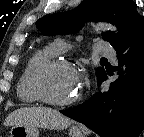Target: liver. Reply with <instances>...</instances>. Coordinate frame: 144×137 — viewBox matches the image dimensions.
<instances>
[{
  "label": "liver",
  "instance_id": "obj_1",
  "mask_svg": "<svg viewBox=\"0 0 144 137\" xmlns=\"http://www.w3.org/2000/svg\"><path fill=\"white\" fill-rule=\"evenodd\" d=\"M73 121L59 111L46 107H24L10 113L5 126L41 127L51 130H63Z\"/></svg>",
  "mask_w": 144,
  "mask_h": 137
}]
</instances>
